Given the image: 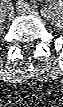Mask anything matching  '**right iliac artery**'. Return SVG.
<instances>
[{
	"instance_id": "82829eb1",
	"label": "right iliac artery",
	"mask_w": 63,
	"mask_h": 107,
	"mask_svg": "<svg viewBox=\"0 0 63 107\" xmlns=\"http://www.w3.org/2000/svg\"><path fill=\"white\" fill-rule=\"evenodd\" d=\"M8 7H7V9H9L10 8V5H7Z\"/></svg>"
}]
</instances>
